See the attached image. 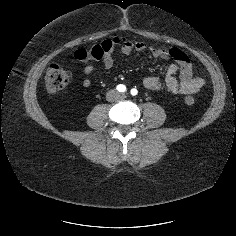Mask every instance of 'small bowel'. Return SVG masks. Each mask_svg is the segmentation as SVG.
<instances>
[{"label": "small bowel", "instance_id": "small-bowel-1", "mask_svg": "<svg viewBox=\"0 0 236 236\" xmlns=\"http://www.w3.org/2000/svg\"><path fill=\"white\" fill-rule=\"evenodd\" d=\"M147 44L144 41H124L122 44V53L126 56L135 51H144ZM151 54L160 60L171 59L172 63L168 66L163 81L156 76H146L142 79L143 86L151 91L165 89L176 95H191L201 90L206 82L203 78L193 77V67L188 56L178 48H161L157 46L150 47ZM100 65L110 70L114 65L112 53L109 52L100 60ZM94 70L92 63H88L84 68V78L82 85L89 87L92 83L90 75ZM178 75V76H176Z\"/></svg>", "mask_w": 236, "mask_h": 236}]
</instances>
